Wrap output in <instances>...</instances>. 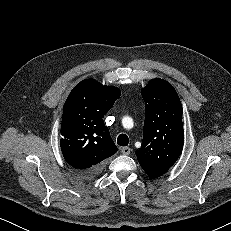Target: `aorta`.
Segmentation results:
<instances>
[{
  "mask_svg": "<svg viewBox=\"0 0 231 231\" xmlns=\"http://www.w3.org/2000/svg\"><path fill=\"white\" fill-rule=\"evenodd\" d=\"M122 124H123V126L125 127V128H130L131 126H133V120H132V118H130V117H124L123 119H122Z\"/></svg>",
  "mask_w": 231,
  "mask_h": 231,
  "instance_id": "obj_1",
  "label": "aorta"
}]
</instances>
